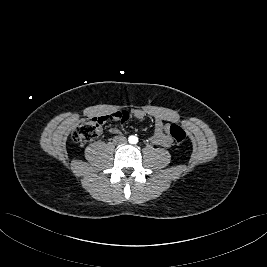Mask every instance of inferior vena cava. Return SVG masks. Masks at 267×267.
<instances>
[{"mask_svg": "<svg viewBox=\"0 0 267 267\" xmlns=\"http://www.w3.org/2000/svg\"><path fill=\"white\" fill-rule=\"evenodd\" d=\"M115 140H116V142H117L118 144H123V143L126 142V137H124V136H119V137H116Z\"/></svg>", "mask_w": 267, "mask_h": 267, "instance_id": "602c4592", "label": "inferior vena cava"}]
</instances>
